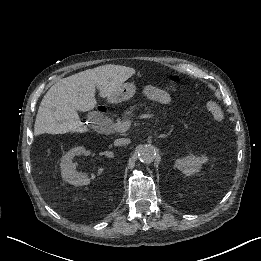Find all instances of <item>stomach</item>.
<instances>
[{
    "mask_svg": "<svg viewBox=\"0 0 261 261\" xmlns=\"http://www.w3.org/2000/svg\"><path fill=\"white\" fill-rule=\"evenodd\" d=\"M136 92V86L133 83H124L120 85L110 97L108 101L111 103H120L122 101L128 100L134 96Z\"/></svg>",
    "mask_w": 261,
    "mask_h": 261,
    "instance_id": "0dacf381",
    "label": "stomach"
}]
</instances>
